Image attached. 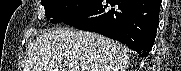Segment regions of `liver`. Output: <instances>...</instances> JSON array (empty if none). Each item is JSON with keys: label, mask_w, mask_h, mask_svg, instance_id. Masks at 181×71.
Here are the masks:
<instances>
[{"label": "liver", "mask_w": 181, "mask_h": 71, "mask_svg": "<svg viewBox=\"0 0 181 71\" xmlns=\"http://www.w3.org/2000/svg\"><path fill=\"white\" fill-rule=\"evenodd\" d=\"M122 46L102 35L59 27L31 44L24 71H126Z\"/></svg>", "instance_id": "1"}]
</instances>
